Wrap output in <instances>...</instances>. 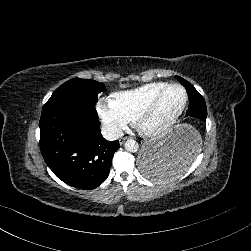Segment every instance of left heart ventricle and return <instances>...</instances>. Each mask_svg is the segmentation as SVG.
<instances>
[{
    "label": "left heart ventricle",
    "mask_w": 251,
    "mask_h": 251,
    "mask_svg": "<svg viewBox=\"0 0 251 251\" xmlns=\"http://www.w3.org/2000/svg\"><path fill=\"white\" fill-rule=\"evenodd\" d=\"M185 103V93L178 88L168 89L148 122V128L168 124L175 120Z\"/></svg>",
    "instance_id": "b2bd125f"
}]
</instances>
